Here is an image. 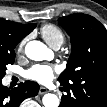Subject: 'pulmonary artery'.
Masks as SVG:
<instances>
[{
	"instance_id": "obj_1",
	"label": "pulmonary artery",
	"mask_w": 107,
	"mask_h": 107,
	"mask_svg": "<svg viewBox=\"0 0 107 107\" xmlns=\"http://www.w3.org/2000/svg\"><path fill=\"white\" fill-rule=\"evenodd\" d=\"M59 48H60V47H55L54 49H56V50H57V49H59Z\"/></svg>"
}]
</instances>
